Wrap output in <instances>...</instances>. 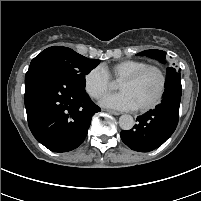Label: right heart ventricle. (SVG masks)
<instances>
[{"label": "right heart ventricle", "mask_w": 201, "mask_h": 201, "mask_svg": "<svg viewBox=\"0 0 201 201\" xmlns=\"http://www.w3.org/2000/svg\"><path fill=\"white\" fill-rule=\"evenodd\" d=\"M148 65L144 61L139 60H123L112 66L103 65V69L107 72L110 78L120 81L125 76Z\"/></svg>", "instance_id": "e07e8e85"}]
</instances>
